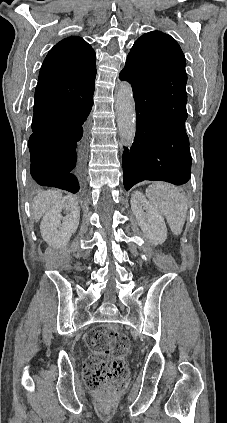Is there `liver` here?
Instances as JSON below:
<instances>
[{
    "label": "liver",
    "instance_id": "obj_1",
    "mask_svg": "<svg viewBox=\"0 0 227 423\" xmlns=\"http://www.w3.org/2000/svg\"><path fill=\"white\" fill-rule=\"evenodd\" d=\"M62 194L56 190H47V192H39L33 200L34 219L40 221L45 211L49 210L50 206L57 204L61 200Z\"/></svg>",
    "mask_w": 227,
    "mask_h": 423
}]
</instances>
